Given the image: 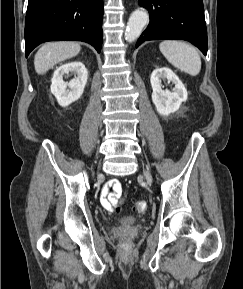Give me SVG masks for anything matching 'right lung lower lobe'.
Wrapping results in <instances>:
<instances>
[{"label": "right lung lower lobe", "instance_id": "obj_1", "mask_svg": "<svg viewBox=\"0 0 243 289\" xmlns=\"http://www.w3.org/2000/svg\"><path fill=\"white\" fill-rule=\"evenodd\" d=\"M103 0H29L25 19V55L54 40L84 41L100 52Z\"/></svg>", "mask_w": 243, "mask_h": 289}]
</instances>
